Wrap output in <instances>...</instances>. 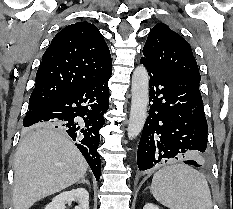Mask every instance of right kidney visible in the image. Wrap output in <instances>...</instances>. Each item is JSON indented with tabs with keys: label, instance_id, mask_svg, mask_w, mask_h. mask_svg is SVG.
<instances>
[{
	"label": "right kidney",
	"instance_id": "obj_1",
	"mask_svg": "<svg viewBox=\"0 0 233 209\" xmlns=\"http://www.w3.org/2000/svg\"><path fill=\"white\" fill-rule=\"evenodd\" d=\"M77 202L75 209H89V193L84 188H76L65 191L55 196L45 209H65V205L71 202Z\"/></svg>",
	"mask_w": 233,
	"mask_h": 209
}]
</instances>
